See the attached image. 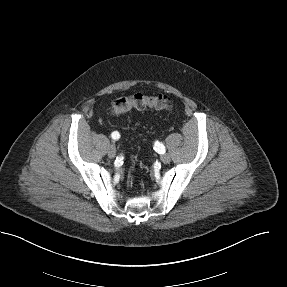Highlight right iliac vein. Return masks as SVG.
Instances as JSON below:
<instances>
[{
	"label": "right iliac vein",
	"mask_w": 287,
	"mask_h": 287,
	"mask_svg": "<svg viewBox=\"0 0 287 287\" xmlns=\"http://www.w3.org/2000/svg\"><path fill=\"white\" fill-rule=\"evenodd\" d=\"M107 153H108L109 158H114L115 155H116V148H115L113 145H111V146L108 148Z\"/></svg>",
	"instance_id": "1"
}]
</instances>
